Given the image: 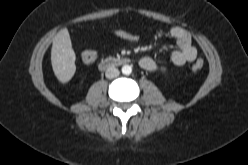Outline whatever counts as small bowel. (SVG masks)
<instances>
[{
    "label": "small bowel",
    "instance_id": "1",
    "mask_svg": "<svg viewBox=\"0 0 248 165\" xmlns=\"http://www.w3.org/2000/svg\"><path fill=\"white\" fill-rule=\"evenodd\" d=\"M114 36L128 42H136L139 40L137 34L125 31L115 30ZM169 36L175 40L178 49L173 51L170 61L174 66H182L186 63L195 61L197 58V50L192 43L190 34L181 27H173L169 31ZM139 65L144 70L156 72L161 69V65L149 56H144L139 60Z\"/></svg>",
    "mask_w": 248,
    "mask_h": 165
}]
</instances>
